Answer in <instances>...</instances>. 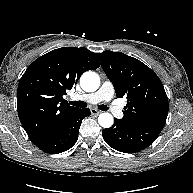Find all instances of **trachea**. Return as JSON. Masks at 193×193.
Listing matches in <instances>:
<instances>
[{"label": "trachea", "mask_w": 193, "mask_h": 193, "mask_svg": "<svg viewBox=\"0 0 193 193\" xmlns=\"http://www.w3.org/2000/svg\"><path fill=\"white\" fill-rule=\"evenodd\" d=\"M69 103L76 107H81V108L87 107V103L84 101H70ZM98 108L102 111L108 110V107L106 105H100Z\"/></svg>", "instance_id": "1"}]
</instances>
